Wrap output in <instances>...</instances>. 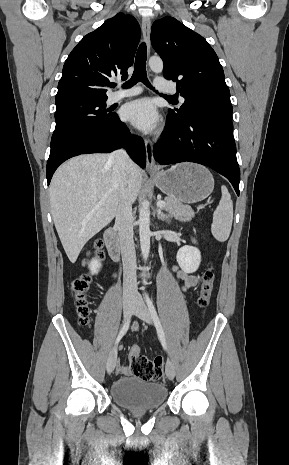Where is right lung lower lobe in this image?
I'll list each match as a JSON object with an SVG mask.
<instances>
[{"mask_svg": "<svg viewBox=\"0 0 289 465\" xmlns=\"http://www.w3.org/2000/svg\"><path fill=\"white\" fill-rule=\"evenodd\" d=\"M125 146L128 154L140 167L146 164V152L142 139L130 134L127 126L117 115L104 126L85 129L51 146L47 162V181L65 160L87 153H110Z\"/></svg>", "mask_w": 289, "mask_h": 465, "instance_id": "obj_1", "label": "right lung lower lobe"}]
</instances>
